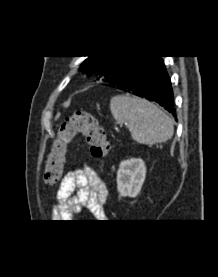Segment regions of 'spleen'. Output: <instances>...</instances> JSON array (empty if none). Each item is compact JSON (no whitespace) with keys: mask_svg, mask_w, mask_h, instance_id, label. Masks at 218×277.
Returning a JSON list of instances; mask_svg holds the SVG:
<instances>
[{"mask_svg":"<svg viewBox=\"0 0 218 277\" xmlns=\"http://www.w3.org/2000/svg\"><path fill=\"white\" fill-rule=\"evenodd\" d=\"M111 113L118 124H126L132 139L152 145L173 136L172 119L149 101L128 95H117L110 101Z\"/></svg>","mask_w":218,"mask_h":277,"instance_id":"obj_1","label":"spleen"}]
</instances>
